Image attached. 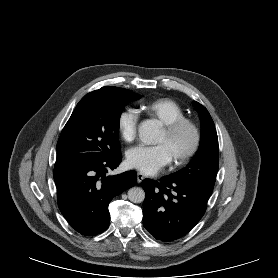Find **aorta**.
Masks as SVG:
<instances>
[{"label": "aorta", "mask_w": 278, "mask_h": 278, "mask_svg": "<svg viewBox=\"0 0 278 278\" xmlns=\"http://www.w3.org/2000/svg\"><path fill=\"white\" fill-rule=\"evenodd\" d=\"M139 138L145 144H154L160 134L157 121L145 120L138 128ZM128 199L133 203H141L145 199V191L140 187H132L128 191Z\"/></svg>", "instance_id": "obj_1"}]
</instances>
